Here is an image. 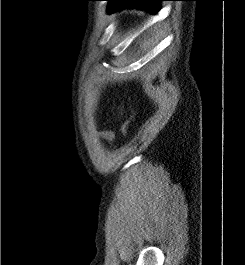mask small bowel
Returning a JSON list of instances; mask_svg holds the SVG:
<instances>
[{
  "mask_svg": "<svg viewBox=\"0 0 245 265\" xmlns=\"http://www.w3.org/2000/svg\"><path fill=\"white\" fill-rule=\"evenodd\" d=\"M102 136L107 139V140H112L113 138V133L111 131H104L102 133Z\"/></svg>",
  "mask_w": 245,
  "mask_h": 265,
  "instance_id": "small-bowel-1",
  "label": "small bowel"
}]
</instances>
